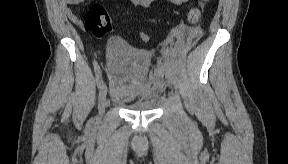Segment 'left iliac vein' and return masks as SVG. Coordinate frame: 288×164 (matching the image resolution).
Instances as JSON below:
<instances>
[{
  "label": "left iliac vein",
  "mask_w": 288,
  "mask_h": 164,
  "mask_svg": "<svg viewBox=\"0 0 288 164\" xmlns=\"http://www.w3.org/2000/svg\"><path fill=\"white\" fill-rule=\"evenodd\" d=\"M168 81L174 88H177V81L173 76H168Z\"/></svg>",
  "instance_id": "left-iliac-vein-1"
}]
</instances>
